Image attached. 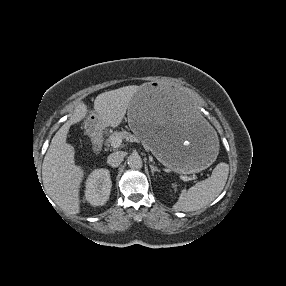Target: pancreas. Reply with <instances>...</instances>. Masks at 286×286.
<instances>
[{
    "label": "pancreas",
    "instance_id": "pancreas-1",
    "mask_svg": "<svg viewBox=\"0 0 286 286\" xmlns=\"http://www.w3.org/2000/svg\"><path fill=\"white\" fill-rule=\"evenodd\" d=\"M114 137H120L121 139H126V140H131V141H135V142H140V138L132 135L129 132L126 131H116L114 132L108 139V141L111 143L112 139ZM143 142V141H142ZM143 145L145 146V148L147 149V146L143 143Z\"/></svg>",
    "mask_w": 286,
    "mask_h": 286
}]
</instances>
